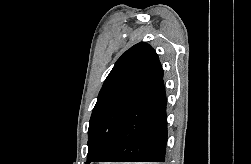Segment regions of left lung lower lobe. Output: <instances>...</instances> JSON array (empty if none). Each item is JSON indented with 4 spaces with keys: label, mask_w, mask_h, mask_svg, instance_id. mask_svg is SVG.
Wrapping results in <instances>:
<instances>
[{
    "label": "left lung lower lobe",
    "mask_w": 251,
    "mask_h": 164,
    "mask_svg": "<svg viewBox=\"0 0 251 164\" xmlns=\"http://www.w3.org/2000/svg\"><path fill=\"white\" fill-rule=\"evenodd\" d=\"M166 103L162 75L130 108L108 157L102 162H164Z\"/></svg>",
    "instance_id": "obj_1"
}]
</instances>
